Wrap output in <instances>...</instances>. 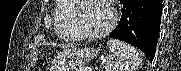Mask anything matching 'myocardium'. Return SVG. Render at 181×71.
Instances as JSON below:
<instances>
[{"mask_svg": "<svg viewBox=\"0 0 181 71\" xmlns=\"http://www.w3.org/2000/svg\"><path fill=\"white\" fill-rule=\"evenodd\" d=\"M64 1H67L73 4V11L70 16V26L73 29V33L76 39L98 40V39L104 38L107 35H109L117 25L118 15H117V11L115 7L108 0H99L109 10L110 22L103 30L99 32H96V33L83 32L78 28V25H77V18L80 14L82 3L80 2V0H64Z\"/></svg>", "mask_w": 181, "mask_h": 71, "instance_id": "f54148a6", "label": "myocardium"}]
</instances>
